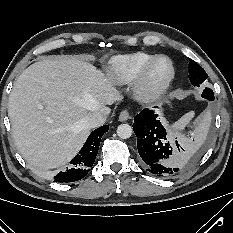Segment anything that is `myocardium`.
Instances as JSON below:
<instances>
[{
	"instance_id": "1",
	"label": "myocardium",
	"mask_w": 233,
	"mask_h": 233,
	"mask_svg": "<svg viewBox=\"0 0 233 233\" xmlns=\"http://www.w3.org/2000/svg\"><path fill=\"white\" fill-rule=\"evenodd\" d=\"M161 61H166L169 65L168 75L160 81L152 80V71ZM175 78V66L172 60L164 55L156 56L146 64L134 82L135 97L144 102L153 101L161 97L170 87Z\"/></svg>"
}]
</instances>
